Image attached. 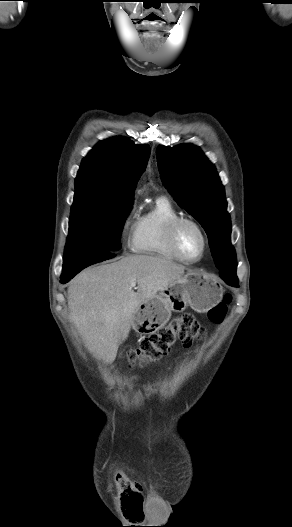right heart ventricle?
Returning a JSON list of instances; mask_svg holds the SVG:
<instances>
[{"mask_svg": "<svg viewBox=\"0 0 292 527\" xmlns=\"http://www.w3.org/2000/svg\"><path fill=\"white\" fill-rule=\"evenodd\" d=\"M180 217L173 203L166 197L156 200L154 206L140 214L132 238V250L139 254L177 259L167 243L170 223Z\"/></svg>", "mask_w": 292, "mask_h": 527, "instance_id": "right-heart-ventricle-1", "label": "right heart ventricle"}]
</instances>
